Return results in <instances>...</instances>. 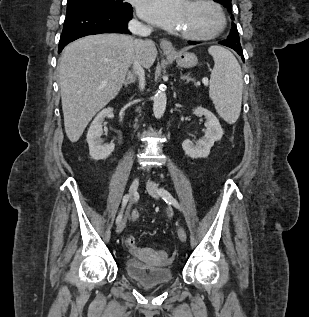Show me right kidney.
Instances as JSON below:
<instances>
[{
	"label": "right kidney",
	"mask_w": 309,
	"mask_h": 317,
	"mask_svg": "<svg viewBox=\"0 0 309 317\" xmlns=\"http://www.w3.org/2000/svg\"><path fill=\"white\" fill-rule=\"evenodd\" d=\"M113 112V108L103 109L92 121L87 133V143L89 145V153L94 160H103L109 157L114 151L115 144H102L100 139L103 129L102 123L104 119Z\"/></svg>",
	"instance_id": "1"
}]
</instances>
